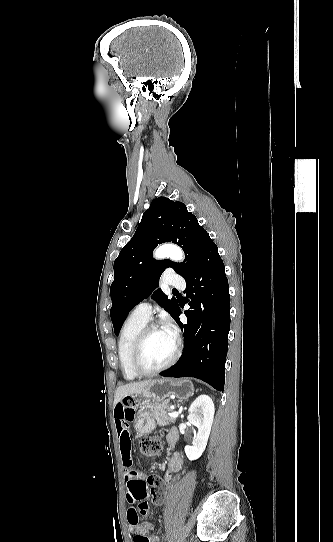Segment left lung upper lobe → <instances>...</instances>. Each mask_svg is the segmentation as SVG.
Returning <instances> with one entry per match:
<instances>
[{
  "label": "left lung upper lobe",
  "instance_id": "left-lung-upper-lobe-1",
  "mask_svg": "<svg viewBox=\"0 0 333 542\" xmlns=\"http://www.w3.org/2000/svg\"><path fill=\"white\" fill-rule=\"evenodd\" d=\"M209 234L199 225L197 218L187 211L182 202L158 197L151 202L142 216L133 238L122 248L114 261V281L110 288L112 307L110 311L115 335L133 307L147 298L158 286L161 273L168 267L183 278L192 272L202 255ZM177 243L185 253L182 263L153 259L158 244ZM175 319L178 301L158 289L152 295Z\"/></svg>",
  "mask_w": 333,
  "mask_h": 542
}]
</instances>
